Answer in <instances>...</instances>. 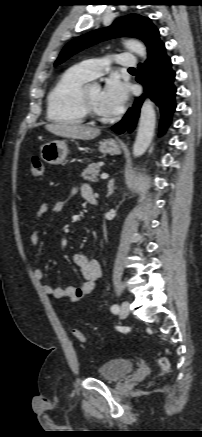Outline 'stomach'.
<instances>
[{"mask_svg": "<svg viewBox=\"0 0 202 437\" xmlns=\"http://www.w3.org/2000/svg\"><path fill=\"white\" fill-rule=\"evenodd\" d=\"M99 151L103 154L119 155L121 147L114 139H107L100 142ZM68 152L65 141H51L40 148L42 160L54 165L61 164L66 159Z\"/></svg>", "mask_w": 202, "mask_h": 437, "instance_id": "1", "label": "stomach"}]
</instances>
